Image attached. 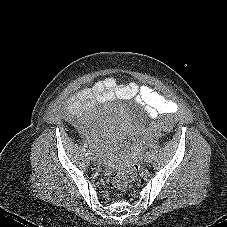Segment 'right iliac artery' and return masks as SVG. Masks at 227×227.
<instances>
[{
  "mask_svg": "<svg viewBox=\"0 0 227 227\" xmlns=\"http://www.w3.org/2000/svg\"><path fill=\"white\" fill-rule=\"evenodd\" d=\"M84 147H86V148H87V147H88V144H87V143H84ZM88 154H89V153H88Z\"/></svg>",
  "mask_w": 227,
  "mask_h": 227,
  "instance_id": "right-iliac-artery-1",
  "label": "right iliac artery"
}]
</instances>
